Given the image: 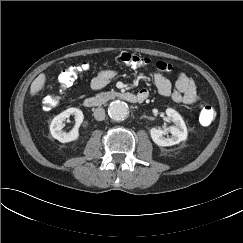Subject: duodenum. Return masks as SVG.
I'll return each instance as SVG.
<instances>
[{
    "label": "duodenum",
    "mask_w": 243,
    "mask_h": 243,
    "mask_svg": "<svg viewBox=\"0 0 243 243\" xmlns=\"http://www.w3.org/2000/svg\"><path fill=\"white\" fill-rule=\"evenodd\" d=\"M120 98L129 103H141L145 100V96L140 94H134L130 92L126 93H113L104 97H89L84 100V106L87 108H96L101 106L106 100Z\"/></svg>",
    "instance_id": "duodenum-1"
}]
</instances>
